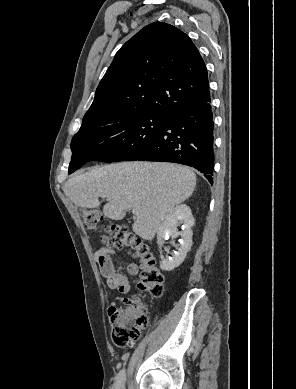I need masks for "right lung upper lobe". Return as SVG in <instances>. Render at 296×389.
I'll use <instances>...</instances> for the list:
<instances>
[{"instance_id": "obj_1", "label": "right lung upper lobe", "mask_w": 296, "mask_h": 389, "mask_svg": "<svg viewBox=\"0 0 296 389\" xmlns=\"http://www.w3.org/2000/svg\"><path fill=\"white\" fill-rule=\"evenodd\" d=\"M210 98L205 63L188 35L155 22L116 53L83 119L114 109L169 116Z\"/></svg>"}]
</instances>
